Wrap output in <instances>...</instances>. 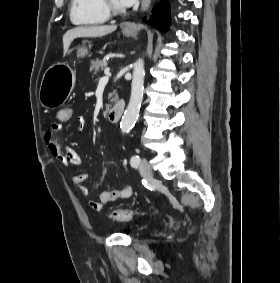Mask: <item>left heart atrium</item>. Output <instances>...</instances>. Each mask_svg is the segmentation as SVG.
Wrapping results in <instances>:
<instances>
[{
  "instance_id": "39dd6f15",
  "label": "left heart atrium",
  "mask_w": 280,
  "mask_h": 283,
  "mask_svg": "<svg viewBox=\"0 0 280 283\" xmlns=\"http://www.w3.org/2000/svg\"><path fill=\"white\" fill-rule=\"evenodd\" d=\"M137 0H120L124 7H130L136 3Z\"/></svg>"
}]
</instances>
